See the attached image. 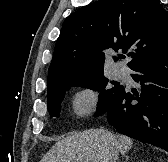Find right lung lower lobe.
<instances>
[{
	"label": "right lung lower lobe",
	"instance_id": "1",
	"mask_svg": "<svg viewBox=\"0 0 168 162\" xmlns=\"http://www.w3.org/2000/svg\"><path fill=\"white\" fill-rule=\"evenodd\" d=\"M141 91L124 88L105 112L120 133L168 151V51L132 68Z\"/></svg>",
	"mask_w": 168,
	"mask_h": 162
}]
</instances>
